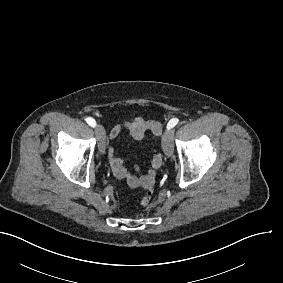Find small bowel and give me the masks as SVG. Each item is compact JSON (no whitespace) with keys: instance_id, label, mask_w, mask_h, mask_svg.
Listing matches in <instances>:
<instances>
[{"instance_id":"1","label":"small bowel","mask_w":283,"mask_h":283,"mask_svg":"<svg viewBox=\"0 0 283 283\" xmlns=\"http://www.w3.org/2000/svg\"><path fill=\"white\" fill-rule=\"evenodd\" d=\"M123 132H127L134 140L141 141L144 139L147 132H150L154 137L159 138L162 135V127L158 122L146 121L141 117H132L114 126L109 132V138L114 140ZM108 160L113 175L117 179H120L123 184H126L128 189H138L139 187H142L145 180L154 177L155 171L162 166L163 162L161 152L154 151L151 160L152 170H150L143 179L137 178L136 180H130L129 173L123 161L116 154L112 146L108 148ZM132 172L134 174H139L141 172V167L139 165H134L132 167Z\"/></svg>"}]
</instances>
